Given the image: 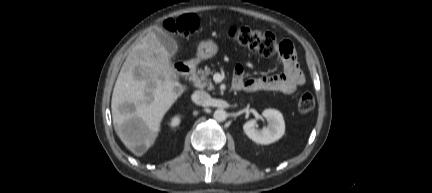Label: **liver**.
<instances>
[{
  "instance_id": "obj_1",
  "label": "liver",
  "mask_w": 432,
  "mask_h": 193,
  "mask_svg": "<svg viewBox=\"0 0 432 193\" xmlns=\"http://www.w3.org/2000/svg\"><path fill=\"white\" fill-rule=\"evenodd\" d=\"M177 79L154 31L126 58L113 89L111 112L117 135L135 155H143L154 145L164 115L184 92ZM124 105H131L132 110L122 111ZM129 121L134 122L130 134L123 130Z\"/></svg>"
}]
</instances>
